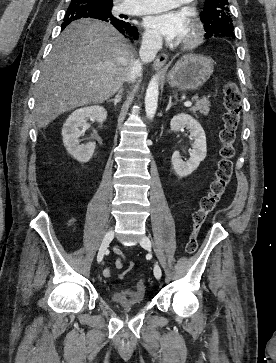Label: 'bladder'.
I'll return each mask as SVG.
<instances>
[{
    "mask_svg": "<svg viewBox=\"0 0 276 363\" xmlns=\"http://www.w3.org/2000/svg\"><path fill=\"white\" fill-rule=\"evenodd\" d=\"M110 299L122 307H134L143 304L145 296L143 288L138 286L114 290L110 294Z\"/></svg>",
    "mask_w": 276,
    "mask_h": 363,
    "instance_id": "obj_1",
    "label": "bladder"
}]
</instances>
